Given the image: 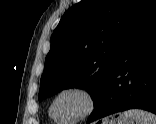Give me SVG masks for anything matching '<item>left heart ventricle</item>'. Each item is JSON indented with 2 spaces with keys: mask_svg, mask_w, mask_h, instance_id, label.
<instances>
[{
  "mask_svg": "<svg viewBox=\"0 0 156 124\" xmlns=\"http://www.w3.org/2000/svg\"><path fill=\"white\" fill-rule=\"evenodd\" d=\"M87 108L86 97L78 92H67L54 105V114L60 119H71L81 115Z\"/></svg>",
  "mask_w": 156,
  "mask_h": 124,
  "instance_id": "obj_1",
  "label": "left heart ventricle"
}]
</instances>
